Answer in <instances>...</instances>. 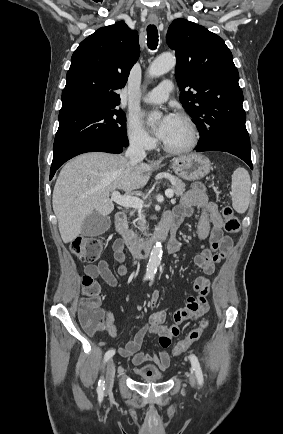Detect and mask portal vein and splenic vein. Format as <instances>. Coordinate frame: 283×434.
<instances>
[{
  "label": "portal vein and splenic vein",
  "mask_w": 283,
  "mask_h": 434,
  "mask_svg": "<svg viewBox=\"0 0 283 434\" xmlns=\"http://www.w3.org/2000/svg\"><path fill=\"white\" fill-rule=\"evenodd\" d=\"M165 195L168 198H172L174 196V192L171 189L165 191ZM111 199L120 206L126 208H134L141 210L143 208V200L138 197H133L129 195L122 196L118 191H114L112 193Z\"/></svg>",
  "instance_id": "18ae733b"
}]
</instances>
